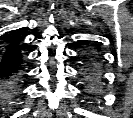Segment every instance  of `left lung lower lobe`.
<instances>
[{"instance_id":"obj_1","label":"left lung lower lobe","mask_w":133,"mask_h":118,"mask_svg":"<svg viewBox=\"0 0 133 118\" xmlns=\"http://www.w3.org/2000/svg\"><path fill=\"white\" fill-rule=\"evenodd\" d=\"M81 60L83 61V82L88 96L98 98L102 92L100 79V57L92 49H83Z\"/></svg>"}]
</instances>
